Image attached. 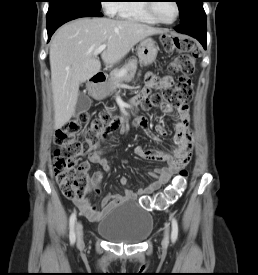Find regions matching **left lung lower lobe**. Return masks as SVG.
<instances>
[{
	"mask_svg": "<svg viewBox=\"0 0 258 275\" xmlns=\"http://www.w3.org/2000/svg\"><path fill=\"white\" fill-rule=\"evenodd\" d=\"M175 30L196 38L206 49L207 22L203 0H194L191 3L188 11L181 18V24Z\"/></svg>",
	"mask_w": 258,
	"mask_h": 275,
	"instance_id": "obj_1",
	"label": "left lung lower lobe"
}]
</instances>
